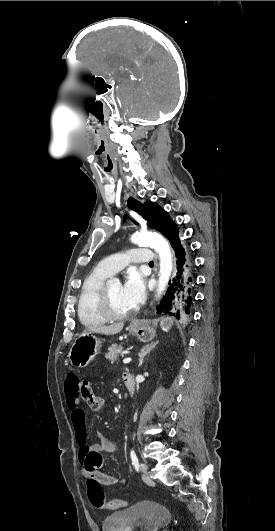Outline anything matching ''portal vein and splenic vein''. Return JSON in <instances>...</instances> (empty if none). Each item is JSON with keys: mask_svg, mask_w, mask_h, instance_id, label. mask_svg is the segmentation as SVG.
I'll list each match as a JSON object with an SVG mask.
<instances>
[{"mask_svg": "<svg viewBox=\"0 0 275 531\" xmlns=\"http://www.w3.org/2000/svg\"><path fill=\"white\" fill-rule=\"evenodd\" d=\"M130 361H132V359H130V357H129V359H123V363H130Z\"/></svg>", "mask_w": 275, "mask_h": 531, "instance_id": "18ae733b", "label": "portal vein and splenic vein"}]
</instances>
